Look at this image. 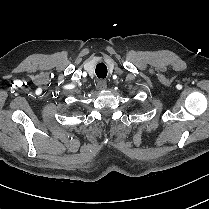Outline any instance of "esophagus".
<instances>
[{"label":"esophagus","mask_w":209,"mask_h":209,"mask_svg":"<svg viewBox=\"0 0 209 209\" xmlns=\"http://www.w3.org/2000/svg\"><path fill=\"white\" fill-rule=\"evenodd\" d=\"M106 87H107V82L105 80L99 81L96 85V88L99 91L106 89Z\"/></svg>","instance_id":"34e87169"}]
</instances>
